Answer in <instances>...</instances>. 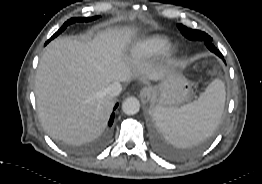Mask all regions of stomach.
I'll use <instances>...</instances> for the list:
<instances>
[{
    "mask_svg": "<svg viewBox=\"0 0 262 184\" xmlns=\"http://www.w3.org/2000/svg\"><path fill=\"white\" fill-rule=\"evenodd\" d=\"M150 89L158 106L177 108L190 100L192 84L182 74L170 73Z\"/></svg>",
    "mask_w": 262,
    "mask_h": 184,
    "instance_id": "stomach-1",
    "label": "stomach"
}]
</instances>
